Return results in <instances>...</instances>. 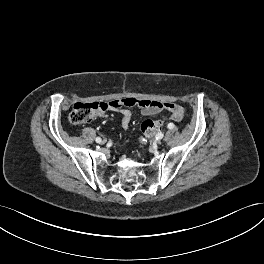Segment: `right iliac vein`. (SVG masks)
I'll return each mask as SVG.
<instances>
[{
    "label": "right iliac vein",
    "instance_id": "obj_1",
    "mask_svg": "<svg viewBox=\"0 0 264 264\" xmlns=\"http://www.w3.org/2000/svg\"><path fill=\"white\" fill-rule=\"evenodd\" d=\"M100 144H107V139H102V141L100 142Z\"/></svg>",
    "mask_w": 264,
    "mask_h": 264
}]
</instances>
